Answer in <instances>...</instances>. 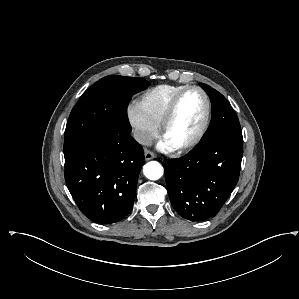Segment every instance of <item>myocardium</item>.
<instances>
[{
	"mask_svg": "<svg viewBox=\"0 0 299 299\" xmlns=\"http://www.w3.org/2000/svg\"><path fill=\"white\" fill-rule=\"evenodd\" d=\"M189 91H197L202 95L204 99L205 110H204L202 122L199 128L197 129V131L195 132V134L185 143L174 146L173 149L179 152L189 150L201 141V139L203 138V136L205 135L208 129L210 116H211V102L205 90H203L198 86H186L173 97L172 101L170 102L169 106L166 109V112L160 122L161 137L164 138L165 132L168 126L170 125L173 117L176 114L181 98Z\"/></svg>",
	"mask_w": 299,
	"mask_h": 299,
	"instance_id": "myocardium-1",
	"label": "myocardium"
}]
</instances>
